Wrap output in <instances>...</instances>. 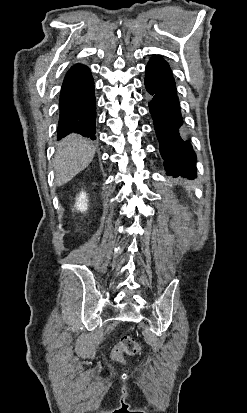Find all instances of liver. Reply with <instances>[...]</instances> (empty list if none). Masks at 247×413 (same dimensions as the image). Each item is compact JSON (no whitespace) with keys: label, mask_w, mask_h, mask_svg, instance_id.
Returning <instances> with one entry per match:
<instances>
[{"label":"liver","mask_w":247,"mask_h":413,"mask_svg":"<svg viewBox=\"0 0 247 413\" xmlns=\"http://www.w3.org/2000/svg\"><path fill=\"white\" fill-rule=\"evenodd\" d=\"M95 154L90 140L83 138L81 134H68L58 144L54 158L55 184L61 186L69 182L80 170H84L90 164Z\"/></svg>","instance_id":"1"}]
</instances>
